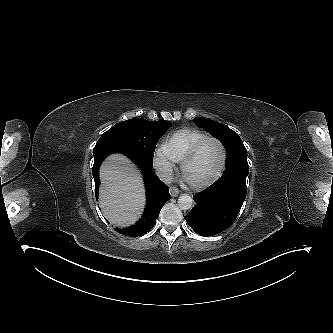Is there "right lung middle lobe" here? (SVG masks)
<instances>
[{"label":"right lung middle lobe","instance_id":"dd1d6c3e","mask_svg":"<svg viewBox=\"0 0 333 333\" xmlns=\"http://www.w3.org/2000/svg\"><path fill=\"white\" fill-rule=\"evenodd\" d=\"M171 124L167 121H147L133 118L114 125L107 133L127 140L148 162L152 163L158 139Z\"/></svg>","mask_w":333,"mask_h":333}]
</instances>
